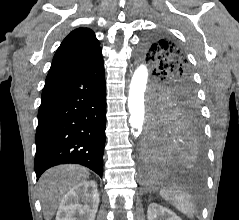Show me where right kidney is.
<instances>
[{"instance_id":"right-kidney-1","label":"right kidney","mask_w":239,"mask_h":220,"mask_svg":"<svg viewBox=\"0 0 239 220\" xmlns=\"http://www.w3.org/2000/svg\"><path fill=\"white\" fill-rule=\"evenodd\" d=\"M99 201L95 181L79 182L61 200L56 220H95Z\"/></svg>"}]
</instances>
